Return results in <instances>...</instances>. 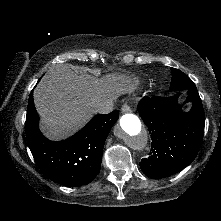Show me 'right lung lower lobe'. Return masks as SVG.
Wrapping results in <instances>:
<instances>
[{
    "instance_id": "right-lung-lower-lobe-1",
    "label": "right lung lower lobe",
    "mask_w": 221,
    "mask_h": 221,
    "mask_svg": "<svg viewBox=\"0 0 221 221\" xmlns=\"http://www.w3.org/2000/svg\"><path fill=\"white\" fill-rule=\"evenodd\" d=\"M119 111L94 116L78 133L63 141H50L38 127L33 91L26 115V138L41 171L65 186H80L94 180L100 171L105 140Z\"/></svg>"
}]
</instances>
